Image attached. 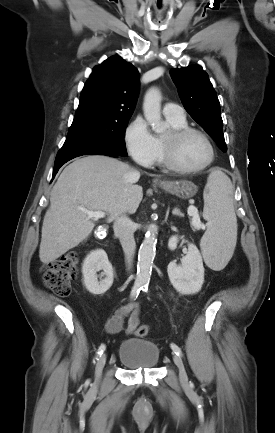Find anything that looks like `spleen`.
<instances>
[{"label": "spleen", "instance_id": "1", "mask_svg": "<svg viewBox=\"0 0 275 433\" xmlns=\"http://www.w3.org/2000/svg\"><path fill=\"white\" fill-rule=\"evenodd\" d=\"M203 198V217L207 220V230L200 247L205 263L219 271L231 259L237 241L233 186L227 175L219 169L211 171Z\"/></svg>", "mask_w": 275, "mask_h": 433}]
</instances>
